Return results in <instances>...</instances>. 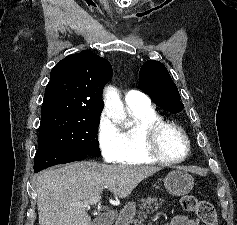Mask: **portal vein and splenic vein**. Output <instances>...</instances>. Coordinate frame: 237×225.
<instances>
[{
    "mask_svg": "<svg viewBox=\"0 0 237 225\" xmlns=\"http://www.w3.org/2000/svg\"><path fill=\"white\" fill-rule=\"evenodd\" d=\"M100 198H101V195L98 194V195H96L95 197H93L90 201L85 202V203H81L80 205H82V206H84V207H88L90 204L93 205V204L98 203L99 200H100Z\"/></svg>",
    "mask_w": 237,
    "mask_h": 225,
    "instance_id": "1",
    "label": "portal vein and splenic vein"
}]
</instances>
